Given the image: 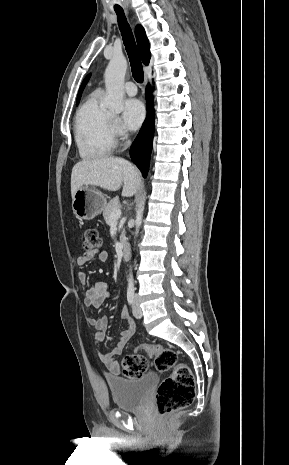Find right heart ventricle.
Returning a JSON list of instances; mask_svg holds the SVG:
<instances>
[{
  "label": "right heart ventricle",
  "mask_w": 289,
  "mask_h": 465,
  "mask_svg": "<svg viewBox=\"0 0 289 465\" xmlns=\"http://www.w3.org/2000/svg\"><path fill=\"white\" fill-rule=\"evenodd\" d=\"M111 122V114L101 103V90H95L78 108L74 119V137L81 158L96 160L113 151Z\"/></svg>",
  "instance_id": "obj_1"
}]
</instances>
